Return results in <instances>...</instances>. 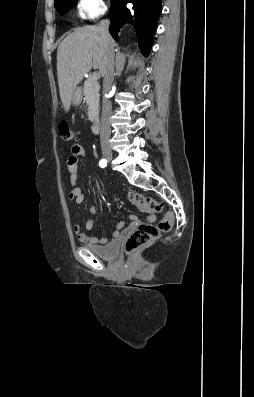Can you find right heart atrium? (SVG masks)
<instances>
[{"label": "right heart atrium", "mask_w": 254, "mask_h": 397, "mask_svg": "<svg viewBox=\"0 0 254 397\" xmlns=\"http://www.w3.org/2000/svg\"><path fill=\"white\" fill-rule=\"evenodd\" d=\"M76 9L81 20H93L105 13L106 6L103 0H78Z\"/></svg>", "instance_id": "right-heart-atrium-1"}]
</instances>
